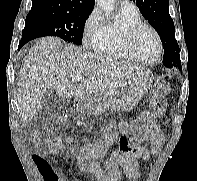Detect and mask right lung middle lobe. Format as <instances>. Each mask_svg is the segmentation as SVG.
I'll use <instances>...</instances> for the list:
<instances>
[{
	"instance_id": "dd1d6c3e",
	"label": "right lung middle lobe",
	"mask_w": 197,
	"mask_h": 181,
	"mask_svg": "<svg viewBox=\"0 0 197 181\" xmlns=\"http://www.w3.org/2000/svg\"><path fill=\"white\" fill-rule=\"evenodd\" d=\"M90 13L31 10L26 17L22 38L32 40L43 36H58L66 42L81 45L84 25Z\"/></svg>"
}]
</instances>
